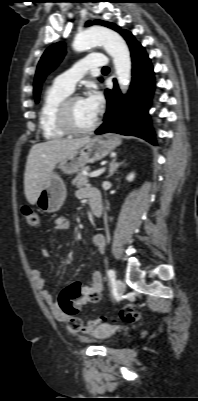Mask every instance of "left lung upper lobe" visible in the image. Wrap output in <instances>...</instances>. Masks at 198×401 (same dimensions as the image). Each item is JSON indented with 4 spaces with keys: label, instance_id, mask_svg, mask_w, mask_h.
<instances>
[{
    "label": "left lung upper lobe",
    "instance_id": "obj_1",
    "mask_svg": "<svg viewBox=\"0 0 198 401\" xmlns=\"http://www.w3.org/2000/svg\"><path fill=\"white\" fill-rule=\"evenodd\" d=\"M91 24L92 23L90 21L86 23V25H91ZM94 24H100L112 28L118 31L123 37H125L126 34L128 33V31L121 30L119 27L109 22L96 20L94 21ZM65 53H66L65 45L59 42L48 47L45 50L44 54L42 55L37 67L34 81V96L36 102H38L39 100V94L41 91L42 82L44 81L46 75L57 67V65L63 59Z\"/></svg>",
    "mask_w": 198,
    "mask_h": 401
}]
</instances>
